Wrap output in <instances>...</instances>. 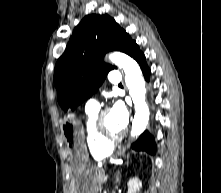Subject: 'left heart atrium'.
Instances as JSON below:
<instances>
[{
	"mask_svg": "<svg viewBox=\"0 0 221 193\" xmlns=\"http://www.w3.org/2000/svg\"><path fill=\"white\" fill-rule=\"evenodd\" d=\"M110 113L114 117L119 127L124 130L129 121V112L124 103L121 101H116L113 104Z\"/></svg>",
	"mask_w": 221,
	"mask_h": 193,
	"instance_id": "39dd6f15",
	"label": "left heart atrium"
}]
</instances>
